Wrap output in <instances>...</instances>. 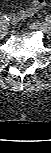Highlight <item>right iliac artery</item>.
Here are the masks:
<instances>
[{"label":"right iliac artery","instance_id":"82829eb1","mask_svg":"<svg viewBox=\"0 0 51 153\" xmlns=\"http://www.w3.org/2000/svg\"><path fill=\"white\" fill-rule=\"evenodd\" d=\"M8 21H9V19H8L7 16H2L1 20H0V23L6 25V24H8Z\"/></svg>","mask_w":51,"mask_h":153}]
</instances>
